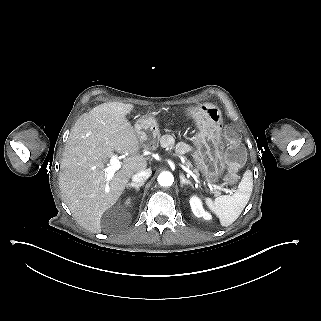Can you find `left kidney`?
<instances>
[{
    "label": "left kidney",
    "instance_id": "left-kidney-1",
    "mask_svg": "<svg viewBox=\"0 0 321 321\" xmlns=\"http://www.w3.org/2000/svg\"><path fill=\"white\" fill-rule=\"evenodd\" d=\"M190 206L196 217H203L205 220L212 219L211 214L203 209L202 202L197 196H192L190 198Z\"/></svg>",
    "mask_w": 321,
    "mask_h": 321
}]
</instances>
